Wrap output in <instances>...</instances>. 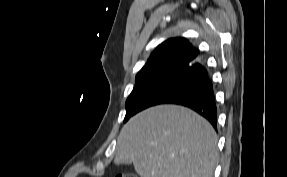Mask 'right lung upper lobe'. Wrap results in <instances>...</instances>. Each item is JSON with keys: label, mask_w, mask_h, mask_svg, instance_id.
Here are the masks:
<instances>
[{"label": "right lung upper lobe", "mask_w": 287, "mask_h": 177, "mask_svg": "<svg viewBox=\"0 0 287 177\" xmlns=\"http://www.w3.org/2000/svg\"><path fill=\"white\" fill-rule=\"evenodd\" d=\"M198 54L199 51L185 38H171L152 52L144 67L169 59L179 60L181 64L191 63L197 59Z\"/></svg>", "instance_id": "cb5924a9"}]
</instances>
